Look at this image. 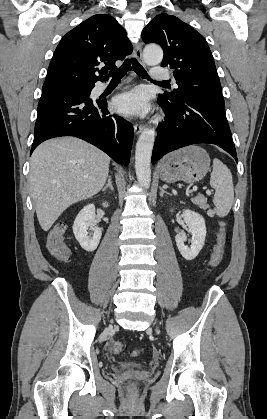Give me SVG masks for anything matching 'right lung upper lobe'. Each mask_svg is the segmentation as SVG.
<instances>
[{"instance_id": "1", "label": "right lung upper lobe", "mask_w": 267, "mask_h": 419, "mask_svg": "<svg viewBox=\"0 0 267 419\" xmlns=\"http://www.w3.org/2000/svg\"><path fill=\"white\" fill-rule=\"evenodd\" d=\"M127 33L112 16L94 15L69 31L58 44L43 88L94 86L108 79V69L132 53ZM105 64L102 69L96 68Z\"/></svg>"}]
</instances>
